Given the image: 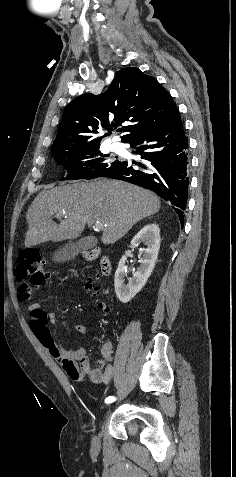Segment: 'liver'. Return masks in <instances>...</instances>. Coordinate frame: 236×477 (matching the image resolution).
<instances>
[{"mask_svg": "<svg viewBox=\"0 0 236 477\" xmlns=\"http://www.w3.org/2000/svg\"><path fill=\"white\" fill-rule=\"evenodd\" d=\"M152 192L117 180L74 182L41 191L28 209L25 246L59 242L81 235L86 224H103L101 241L113 244L137 222L157 213ZM65 212L66 215L60 216ZM64 219L56 224L52 216Z\"/></svg>", "mask_w": 236, "mask_h": 477, "instance_id": "liver-1", "label": "liver"}]
</instances>
